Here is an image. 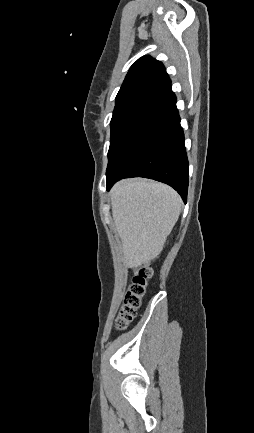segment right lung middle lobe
<instances>
[{"label":"right lung middle lobe","instance_id":"dd1d6c3e","mask_svg":"<svg viewBox=\"0 0 254 433\" xmlns=\"http://www.w3.org/2000/svg\"><path fill=\"white\" fill-rule=\"evenodd\" d=\"M142 105L143 104L141 103H126L115 106L111 119V140L108 158L115 150L125 124L132 114L136 112Z\"/></svg>","mask_w":254,"mask_h":433}]
</instances>
